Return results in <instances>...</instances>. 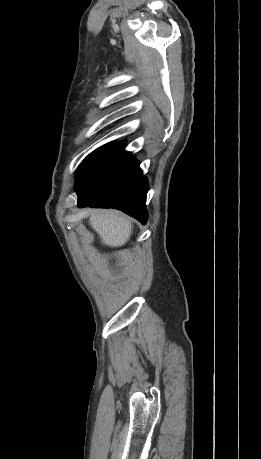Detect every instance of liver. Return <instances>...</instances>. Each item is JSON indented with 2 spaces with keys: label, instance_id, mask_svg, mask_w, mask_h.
Masks as SVG:
<instances>
[{
  "label": "liver",
  "instance_id": "6515ba94",
  "mask_svg": "<svg viewBox=\"0 0 261 459\" xmlns=\"http://www.w3.org/2000/svg\"><path fill=\"white\" fill-rule=\"evenodd\" d=\"M89 224L100 236L102 243L110 247L123 246L132 233V223L116 211L92 212Z\"/></svg>",
  "mask_w": 261,
  "mask_h": 459
}]
</instances>
